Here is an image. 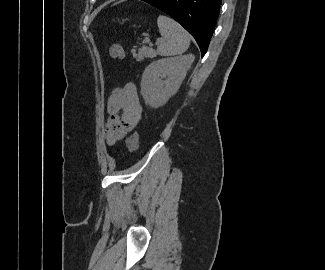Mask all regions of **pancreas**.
I'll return each mask as SVG.
<instances>
[{"label":"pancreas","instance_id":"cf45deb5","mask_svg":"<svg viewBox=\"0 0 325 270\" xmlns=\"http://www.w3.org/2000/svg\"><path fill=\"white\" fill-rule=\"evenodd\" d=\"M132 54L133 57L137 60V61H142L144 60V58H154L156 57V52L154 49L143 46L141 48L138 49V53H136V50L133 49L132 50Z\"/></svg>","mask_w":325,"mask_h":270}]
</instances>
